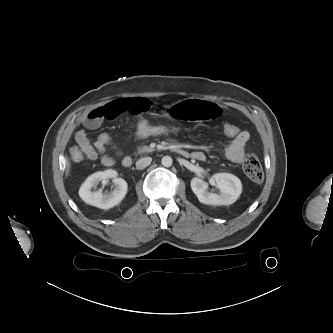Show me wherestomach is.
I'll return each instance as SVG.
<instances>
[{"instance_id": "1", "label": "stomach", "mask_w": 333, "mask_h": 333, "mask_svg": "<svg viewBox=\"0 0 333 333\" xmlns=\"http://www.w3.org/2000/svg\"><path fill=\"white\" fill-rule=\"evenodd\" d=\"M169 105L171 106V113L167 117L161 118L173 117L178 122H183L186 119L227 122L232 117V112L229 108H219L215 102H205L202 99H197L194 102L183 100L177 105Z\"/></svg>"}]
</instances>
